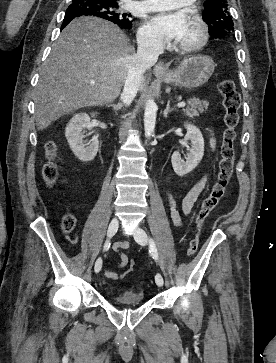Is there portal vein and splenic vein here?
<instances>
[{"instance_id": "1", "label": "portal vein and splenic vein", "mask_w": 276, "mask_h": 363, "mask_svg": "<svg viewBox=\"0 0 276 363\" xmlns=\"http://www.w3.org/2000/svg\"><path fill=\"white\" fill-rule=\"evenodd\" d=\"M185 105H186V103H185V102H179V103L177 104V106H178L179 108L185 107Z\"/></svg>"}]
</instances>
